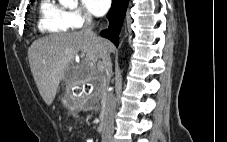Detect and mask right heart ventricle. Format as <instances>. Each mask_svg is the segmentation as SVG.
<instances>
[{
  "label": "right heart ventricle",
  "mask_w": 227,
  "mask_h": 142,
  "mask_svg": "<svg viewBox=\"0 0 227 142\" xmlns=\"http://www.w3.org/2000/svg\"><path fill=\"white\" fill-rule=\"evenodd\" d=\"M37 27L45 34H61L72 26L68 19V11L54 0H41L38 7Z\"/></svg>",
  "instance_id": "obj_1"
}]
</instances>
